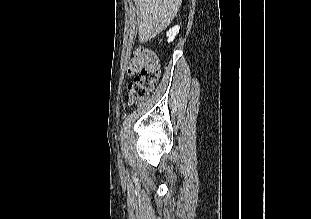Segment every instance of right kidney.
I'll return each instance as SVG.
<instances>
[{
    "label": "right kidney",
    "instance_id": "obj_1",
    "mask_svg": "<svg viewBox=\"0 0 311 219\" xmlns=\"http://www.w3.org/2000/svg\"><path fill=\"white\" fill-rule=\"evenodd\" d=\"M179 26H174L172 27L168 32H167V37H168V42H172L176 35L179 33Z\"/></svg>",
    "mask_w": 311,
    "mask_h": 219
}]
</instances>
